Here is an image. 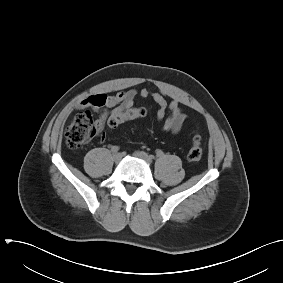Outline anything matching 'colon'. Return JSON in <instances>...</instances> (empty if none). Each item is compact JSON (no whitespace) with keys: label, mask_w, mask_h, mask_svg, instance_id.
I'll use <instances>...</instances> for the list:
<instances>
[{"label":"colon","mask_w":283,"mask_h":283,"mask_svg":"<svg viewBox=\"0 0 283 283\" xmlns=\"http://www.w3.org/2000/svg\"><path fill=\"white\" fill-rule=\"evenodd\" d=\"M147 112V109L144 107H132L109 117L107 126L110 129H114L127 120L146 116ZM96 133V121H94L91 114L86 111L80 112L66 128V143L70 148L78 149L87 144ZM202 155L201 137L195 134L192 138V145L188 151L187 158L190 161H199Z\"/></svg>","instance_id":"obj_1"}]
</instances>
